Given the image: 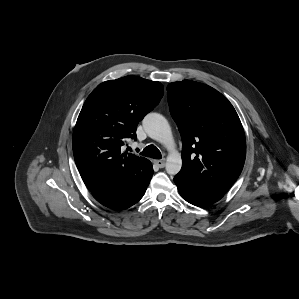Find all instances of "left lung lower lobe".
<instances>
[{"mask_svg": "<svg viewBox=\"0 0 299 299\" xmlns=\"http://www.w3.org/2000/svg\"><path fill=\"white\" fill-rule=\"evenodd\" d=\"M180 195L189 203L196 206L211 205L220 200L224 194L205 189L179 176L174 177Z\"/></svg>", "mask_w": 299, "mask_h": 299, "instance_id": "obj_1", "label": "left lung lower lobe"}]
</instances>
